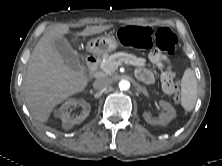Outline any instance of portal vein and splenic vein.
Here are the masks:
<instances>
[{"label":"portal vein and splenic vein","mask_w":222,"mask_h":166,"mask_svg":"<svg viewBox=\"0 0 222 166\" xmlns=\"http://www.w3.org/2000/svg\"><path fill=\"white\" fill-rule=\"evenodd\" d=\"M119 65H121V63L120 62H118L117 64H116V66L118 67Z\"/></svg>","instance_id":"obj_1"}]
</instances>
